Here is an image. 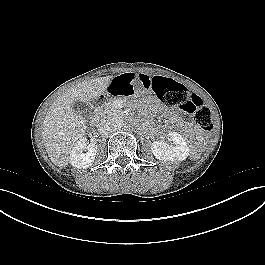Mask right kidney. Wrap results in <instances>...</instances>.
<instances>
[{"instance_id":"1","label":"right kidney","mask_w":265,"mask_h":265,"mask_svg":"<svg viewBox=\"0 0 265 265\" xmlns=\"http://www.w3.org/2000/svg\"><path fill=\"white\" fill-rule=\"evenodd\" d=\"M83 151H87L83 153ZM97 154L95 143L87 144V139L82 137L78 140L70 153V164L76 168H88L92 165Z\"/></svg>"}]
</instances>
